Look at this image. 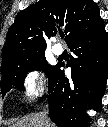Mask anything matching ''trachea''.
Instances as JSON below:
<instances>
[{"mask_svg": "<svg viewBox=\"0 0 108 127\" xmlns=\"http://www.w3.org/2000/svg\"><path fill=\"white\" fill-rule=\"evenodd\" d=\"M60 37H61V39H63L64 38V34H61Z\"/></svg>", "mask_w": 108, "mask_h": 127, "instance_id": "1", "label": "trachea"}]
</instances>
